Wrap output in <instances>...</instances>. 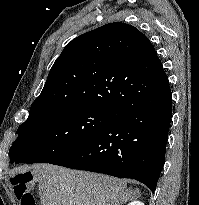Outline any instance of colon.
Returning a JSON list of instances; mask_svg holds the SVG:
<instances>
[{
  "label": "colon",
  "mask_w": 199,
  "mask_h": 205,
  "mask_svg": "<svg viewBox=\"0 0 199 205\" xmlns=\"http://www.w3.org/2000/svg\"><path fill=\"white\" fill-rule=\"evenodd\" d=\"M32 176L28 173L15 175L11 179L14 194L21 205H35V200L29 189Z\"/></svg>",
  "instance_id": "colon-1"
}]
</instances>
